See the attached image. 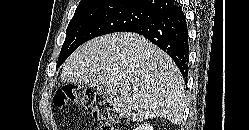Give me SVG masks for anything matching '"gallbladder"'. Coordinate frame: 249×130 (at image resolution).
I'll list each match as a JSON object with an SVG mask.
<instances>
[{
  "label": "gallbladder",
  "instance_id": "gallbladder-1",
  "mask_svg": "<svg viewBox=\"0 0 249 130\" xmlns=\"http://www.w3.org/2000/svg\"><path fill=\"white\" fill-rule=\"evenodd\" d=\"M97 94L103 97L108 96V88L105 85L98 87Z\"/></svg>",
  "mask_w": 249,
  "mask_h": 130
}]
</instances>
